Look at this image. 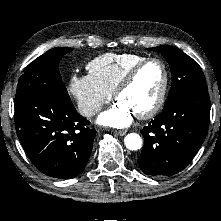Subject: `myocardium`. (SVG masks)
Segmentation results:
<instances>
[{"label":"myocardium","instance_id":"f54148a6","mask_svg":"<svg viewBox=\"0 0 221 221\" xmlns=\"http://www.w3.org/2000/svg\"><path fill=\"white\" fill-rule=\"evenodd\" d=\"M150 63H157L162 67L163 83L155 103L148 110L136 114L137 118L139 119L152 118L160 111L165 102L170 80L169 69L166 63L159 58H147L143 60L128 71V73L122 78L120 83L117 85L113 93L114 98L117 100L118 96L133 83L139 72Z\"/></svg>","mask_w":221,"mask_h":221}]
</instances>
